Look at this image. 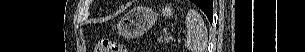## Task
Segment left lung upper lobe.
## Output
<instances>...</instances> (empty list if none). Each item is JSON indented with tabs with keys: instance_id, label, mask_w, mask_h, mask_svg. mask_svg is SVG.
Listing matches in <instances>:
<instances>
[{
	"instance_id": "5c2ea615",
	"label": "left lung upper lobe",
	"mask_w": 305,
	"mask_h": 52,
	"mask_svg": "<svg viewBox=\"0 0 305 52\" xmlns=\"http://www.w3.org/2000/svg\"><path fill=\"white\" fill-rule=\"evenodd\" d=\"M193 3H195L200 8H205V1L206 0H191Z\"/></svg>"
}]
</instances>
